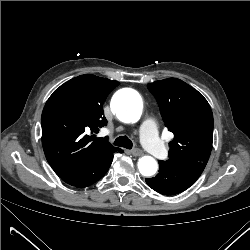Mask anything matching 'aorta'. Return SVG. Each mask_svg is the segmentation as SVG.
<instances>
[{"mask_svg": "<svg viewBox=\"0 0 250 250\" xmlns=\"http://www.w3.org/2000/svg\"><path fill=\"white\" fill-rule=\"evenodd\" d=\"M111 110L127 122L137 121L142 114L141 97L131 89H123L114 95ZM157 168V162L151 156H143L138 161V169L143 176L154 175Z\"/></svg>", "mask_w": 250, "mask_h": 250, "instance_id": "1", "label": "aorta"}]
</instances>
